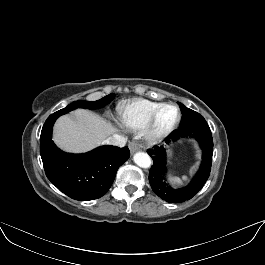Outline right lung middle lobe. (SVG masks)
I'll return each instance as SVG.
<instances>
[{
    "label": "right lung middle lobe",
    "instance_id": "obj_1",
    "mask_svg": "<svg viewBox=\"0 0 265 265\" xmlns=\"http://www.w3.org/2000/svg\"><path fill=\"white\" fill-rule=\"evenodd\" d=\"M115 94H109L103 98H101L100 100L94 101V102H89V101H75L71 104H69L67 107L55 112L57 114L63 115L66 114L72 110H75L77 108H88V109H98L101 108L103 106H105L106 104H108L113 98H114Z\"/></svg>",
    "mask_w": 265,
    "mask_h": 265
}]
</instances>
